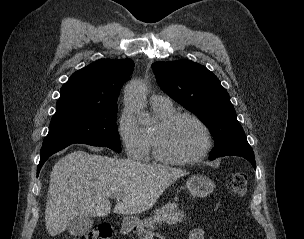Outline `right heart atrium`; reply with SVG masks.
Wrapping results in <instances>:
<instances>
[{"label":"right heart atrium","instance_id":"1","mask_svg":"<svg viewBox=\"0 0 304 239\" xmlns=\"http://www.w3.org/2000/svg\"><path fill=\"white\" fill-rule=\"evenodd\" d=\"M117 132L128 157L135 160L146 159L149 144L145 130L137 123L128 108H124L119 115Z\"/></svg>","mask_w":304,"mask_h":239}]
</instances>
